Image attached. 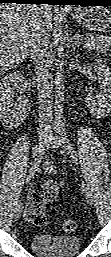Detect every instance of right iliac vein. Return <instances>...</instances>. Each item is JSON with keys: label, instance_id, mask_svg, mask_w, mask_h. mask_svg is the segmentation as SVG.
<instances>
[{"label": "right iliac vein", "instance_id": "1", "mask_svg": "<svg viewBox=\"0 0 111 257\" xmlns=\"http://www.w3.org/2000/svg\"><path fill=\"white\" fill-rule=\"evenodd\" d=\"M47 140H48V136L46 134H42L39 137V152L45 146V144L47 143ZM22 212H23V203L17 204L14 212L15 221H17L20 218Z\"/></svg>", "mask_w": 111, "mask_h": 257}]
</instances>
